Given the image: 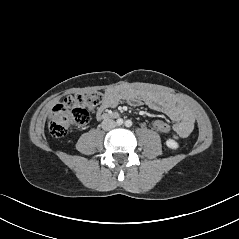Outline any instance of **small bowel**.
Listing matches in <instances>:
<instances>
[{"label":"small bowel","mask_w":239,"mask_h":239,"mask_svg":"<svg viewBox=\"0 0 239 239\" xmlns=\"http://www.w3.org/2000/svg\"><path fill=\"white\" fill-rule=\"evenodd\" d=\"M121 101H126L131 105L145 104L149 108L167 115L174 122L168 132L174 139L186 138L194 128L195 119L192 112L174 96L130 86H119L106 90L97 111V118H102L107 109L115 107Z\"/></svg>","instance_id":"1"}]
</instances>
